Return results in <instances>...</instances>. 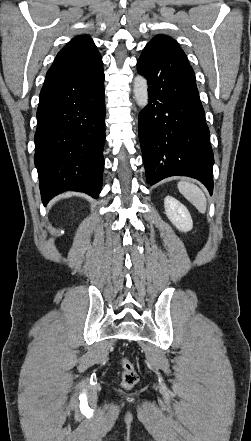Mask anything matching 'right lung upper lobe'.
I'll return each mask as SVG.
<instances>
[{
  "label": "right lung upper lobe",
  "instance_id": "obj_1",
  "mask_svg": "<svg viewBox=\"0 0 251 441\" xmlns=\"http://www.w3.org/2000/svg\"><path fill=\"white\" fill-rule=\"evenodd\" d=\"M103 65L102 58L87 35L73 38L57 54L46 75H73L90 72Z\"/></svg>",
  "mask_w": 251,
  "mask_h": 441
}]
</instances>
